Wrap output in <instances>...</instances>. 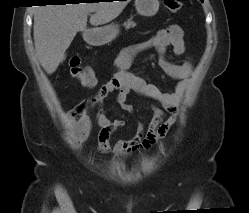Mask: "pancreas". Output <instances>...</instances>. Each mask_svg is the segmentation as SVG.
Returning a JSON list of instances; mask_svg holds the SVG:
<instances>
[{"instance_id":"1","label":"pancreas","mask_w":249,"mask_h":213,"mask_svg":"<svg viewBox=\"0 0 249 213\" xmlns=\"http://www.w3.org/2000/svg\"><path fill=\"white\" fill-rule=\"evenodd\" d=\"M132 19H133V18L131 17V18H129L127 21H125V22L123 23V26H124L126 29H130V28L136 26V23H135L134 21H132Z\"/></svg>"}]
</instances>
